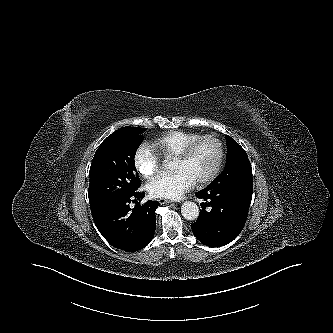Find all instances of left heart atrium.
Returning <instances> with one entry per match:
<instances>
[{"label": "left heart atrium", "instance_id": "1", "mask_svg": "<svg viewBox=\"0 0 333 333\" xmlns=\"http://www.w3.org/2000/svg\"><path fill=\"white\" fill-rule=\"evenodd\" d=\"M195 183L187 172L179 170L153 178L147 188L153 197L177 200L182 198Z\"/></svg>", "mask_w": 333, "mask_h": 333}]
</instances>
